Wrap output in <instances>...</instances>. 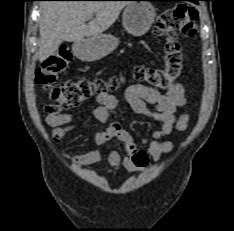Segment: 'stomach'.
Instances as JSON below:
<instances>
[{"label": "stomach", "mask_w": 234, "mask_h": 231, "mask_svg": "<svg viewBox=\"0 0 234 231\" xmlns=\"http://www.w3.org/2000/svg\"><path fill=\"white\" fill-rule=\"evenodd\" d=\"M155 16L156 9L150 2L134 0L126 5L122 14V24L128 33L139 37L148 32ZM118 43V39L111 34H99L75 42L73 50L79 59L92 62L112 53Z\"/></svg>", "instance_id": "0dacf381"}]
</instances>
